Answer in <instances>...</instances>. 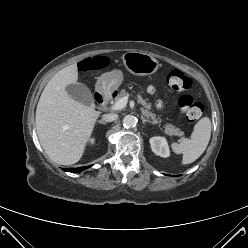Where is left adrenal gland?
<instances>
[{
	"instance_id": "1",
	"label": "left adrenal gland",
	"mask_w": 248,
	"mask_h": 248,
	"mask_svg": "<svg viewBox=\"0 0 248 248\" xmlns=\"http://www.w3.org/2000/svg\"><path fill=\"white\" fill-rule=\"evenodd\" d=\"M141 119H142L143 124H145V123L153 124L151 121L145 119L143 116H141Z\"/></svg>"
}]
</instances>
